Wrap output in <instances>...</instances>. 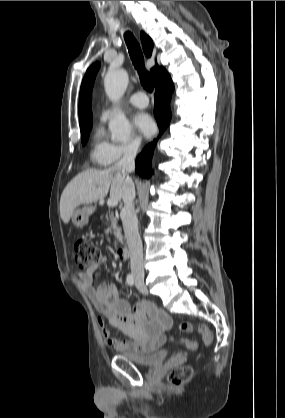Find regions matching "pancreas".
Listing matches in <instances>:
<instances>
[{"instance_id": "cf45deb5", "label": "pancreas", "mask_w": 285, "mask_h": 418, "mask_svg": "<svg viewBox=\"0 0 285 418\" xmlns=\"http://www.w3.org/2000/svg\"><path fill=\"white\" fill-rule=\"evenodd\" d=\"M109 227L106 229V233L113 234L115 236V245L123 243V235L121 228L117 225V218L111 213L108 218Z\"/></svg>"}]
</instances>
